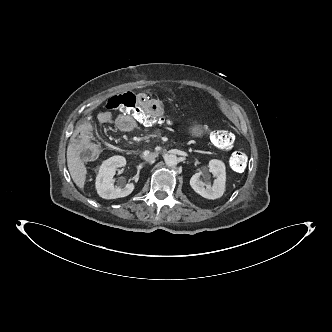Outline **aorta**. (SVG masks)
I'll return each mask as SVG.
<instances>
[{"label":"aorta","mask_w":332,"mask_h":332,"mask_svg":"<svg viewBox=\"0 0 332 332\" xmlns=\"http://www.w3.org/2000/svg\"><path fill=\"white\" fill-rule=\"evenodd\" d=\"M165 163L170 167L176 166L178 164V158L174 154H169L165 157Z\"/></svg>","instance_id":"aorta-1"}]
</instances>
